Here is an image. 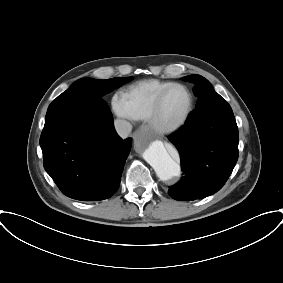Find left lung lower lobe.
I'll list each match as a JSON object with an SVG mask.
<instances>
[{
  "mask_svg": "<svg viewBox=\"0 0 283 283\" xmlns=\"http://www.w3.org/2000/svg\"><path fill=\"white\" fill-rule=\"evenodd\" d=\"M233 111L218 94L211 102L197 105L185 125L168 139L180 154L183 177L170 187L176 200H195L220 190L238 159V138L219 133L229 126Z\"/></svg>",
  "mask_w": 283,
  "mask_h": 283,
  "instance_id": "left-lung-lower-lobe-1",
  "label": "left lung lower lobe"
}]
</instances>
